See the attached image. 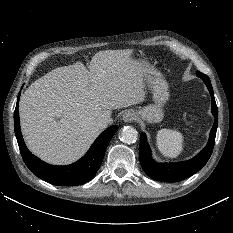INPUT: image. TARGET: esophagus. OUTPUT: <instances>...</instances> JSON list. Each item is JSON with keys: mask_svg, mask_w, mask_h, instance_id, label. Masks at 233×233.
Returning <instances> with one entry per match:
<instances>
[{"mask_svg": "<svg viewBox=\"0 0 233 233\" xmlns=\"http://www.w3.org/2000/svg\"><path fill=\"white\" fill-rule=\"evenodd\" d=\"M122 119L124 122H131L135 119V113L133 111H126L123 114Z\"/></svg>", "mask_w": 233, "mask_h": 233, "instance_id": "esophagus-1", "label": "esophagus"}]
</instances>
